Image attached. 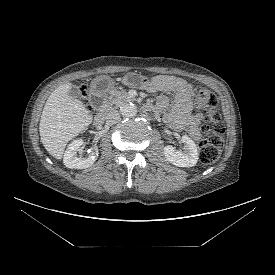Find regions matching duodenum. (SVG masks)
I'll return each instance as SVG.
<instances>
[{"instance_id": "duodenum-1", "label": "duodenum", "mask_w": 275, "mask_h": 275, "mask_svg": "<svg viewBox=\"0 0 275 275\" xmlns=\"http://www.w3.org/2000/svg\"><path fill=\"white\" fill-rule=\"evenodd\" d=\"M92 96H93V99L98 103H100L103 99V93L99 89L93 90ZM105 117H106V109L102 107L94 117V124L96 126H101L105 121Z\"/></svg>"}]
</instances>
